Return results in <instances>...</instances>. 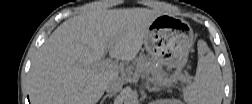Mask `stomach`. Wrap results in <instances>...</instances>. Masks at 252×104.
I'll return each mask as SVG.
<instances>
[{
	"instance_id": "stomach-1",
	"label": "stomach",
	"mask_w": 252,
	"mask_h": 104,
	"mask_svg": "<svg viewBox=\"0 0 252 104\" xmlns=\"http://www.w3.org/2000/svg\"><path fill=\"white\" fill-rule=\"evenodd\" d=\"M193 38L187 22L162 14L150 24L144 46L148 55L160 65L169 69L182 68L187 62Z\"/></svg>"
}]
</instances>
